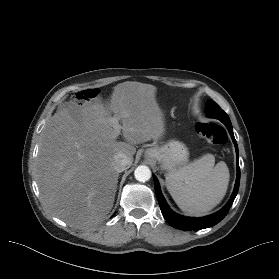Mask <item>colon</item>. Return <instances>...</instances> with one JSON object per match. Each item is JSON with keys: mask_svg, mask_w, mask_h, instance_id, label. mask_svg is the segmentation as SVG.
Masks as SVG:
<instances>
[{"mask_svg": "<svg viewBox=\"0 0 279 279\" xmlns=\"http://www.w3.org/2000/svg\"><path fill=\"white\" fill-rule=\"evenodd\" d=\"M94 90H87L81 94L82 99H91L95 96ZM197 134L208 144L213 146H225L228 143L226 130L216 123H198L196 125Z\"/></svg>", "mask_w": 279, "mask_h": 279, "instance_id": "colon-1", "label": "colon"}]
</instances>
